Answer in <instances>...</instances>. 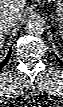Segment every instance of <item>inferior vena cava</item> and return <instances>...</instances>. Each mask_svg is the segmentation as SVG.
I'll return each instance as SVG.
<instances>
[{
    "mask_svg": "<svg viewBox=\"0 0 63 107\" xmlns=\"http://www.w3.org/2000/svg\"><path fill=\"white\" fill-rule=\"evenodd\" d=\"M17 16L13 14L2 13L0 15V29L9 31L17 22Z\"/></svg>",
    "mask_w": 63,
    "mask_h": 107,
    "instance_id": "inferior-vena-cava-1",
    "label": "inferior vena cava"
}]
</instances>
